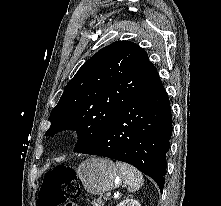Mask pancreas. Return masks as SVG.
Segmentation results:
<instances>
[{
  "mask_svg": "<svg viewBox=\"0 0 221 206\" xmlns=\"http://www.w3.org/2000/svg\"><path fill=\"white\" fill-rule=\"evenodd\" d=\"M107 196H100L98 199L92 202V206H104L107 201Z\"/></svg>",
  "mask_w": 221,
  "mask_h": 206,
  "instance_id": "cf45deb5",
  "label": "pancreas"
}]
</instances>
